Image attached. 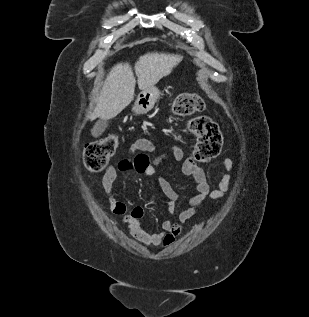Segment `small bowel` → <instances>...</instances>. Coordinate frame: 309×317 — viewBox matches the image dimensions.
<instances>
[{
	"label": "small bowel",
	"instance_id": "small-bowel-1",
	"mask_svg": "<svg viewBox=\"0 0 309 317\" xmlns=\"http://www.w3.org/2000/svg\"><path fill=\"white\" fill-rule=\"evenodd\" d=\"M167 149V153L159 154L153 158L149 156L158 149ZM128 153L132 158H125L118 164L120 171H133L146 177L158 176L159 186L162 195L168 201L169 212L172 213L171 204L179 199V194L173 189L168 180L158 174V168L167 161L179 162L183 160V150L175 145L158 144L153 140L141 138L133 142ZM234 169L231 159L225 158L219 164L222 173L216 187H211L207 181L205 172L198 167L193 154H190L183 162L182 170L190 176L196 186V193L188 200L189 207L178 215V221L169 219L161 223V231L150 233L141 226L144 211L141 207H128L116 195L115 181L117 178V168L109 166L102 178V187L106 193L111 211L121 216L123 222L128 226L130 234L145 246L168 247L175 241L182 232V224L195 217L200 211L207 198L217 200L223 198L229 190L231 184L230 172Z\"/></svg>",
	"mask_w": 309,
	"mask_h": 317
}]
</instances>
